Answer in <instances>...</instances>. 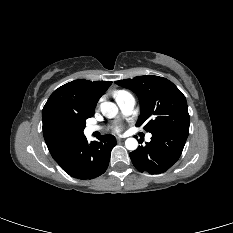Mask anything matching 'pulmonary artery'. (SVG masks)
<instances>
[{
  "mask_svg": "<svg viewBox=\"0 0 233 233\" xmlns=\"http://www.w3.org/2000/svg\"><path fill=\"white\" fill-rule=\"evenodd\" d=\"M117 103H118L120 110L122 111V113L124 115H130L135 108L136 101L132 95H129V96H125V97L120 98L119 100H117ZM100 129H101L100 126L89 125L86 127L85 132L87 134H92L96 131H99ZM151 137H152V135L148 134L146 136V140L150 141Z\"/></svg>",
  "mask_w": 233,
  "mask_h": 233,
  "instance_id": "e3ab8cb5",
  "label": "pulmonary artery"
}]
</instances>
